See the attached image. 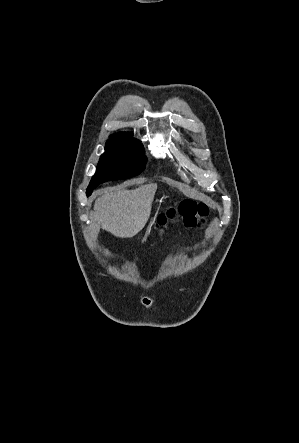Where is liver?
Instances as JSON below:
<instances>
[{
	"mask_svg": "<svg viewBox=\"0 0 299 443\" xmlns=\"http://www.w3.org/2000/svg\"><path fill=\"white\" fill-rule=\"evenodd\" d=\"M156 190L157 184L141 185L132 190H106L95 201L93 223L119 238L135 236L150 217Z\"/></svg>",
	"mask_w": 299,
	"mask_h": 443,
	"instance_id": "6515ba94",
	"label": "liver"
}]
</instances>
